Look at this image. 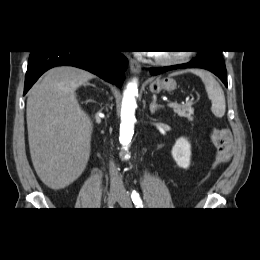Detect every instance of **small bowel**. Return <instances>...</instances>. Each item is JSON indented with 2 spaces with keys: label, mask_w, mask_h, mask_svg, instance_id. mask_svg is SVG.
<instances>
[{
  "label": "small bowel",
  "mask_w": 260,
  "mask_h": 260,
  "mask_svg": "<svg viewBox=\"0 0 260 260\" xmlns=\"http://www.w3.org/2000/svg\"><path fill=\"white\" fill-rule=\"evenodd\" d=\"M210 139L216 148L215 164L228 161L234 152L230 131L226 129L214 130L211 132Z\"/></svg>",
  "instance_id": "c3829d8e"
}]
</instances>
